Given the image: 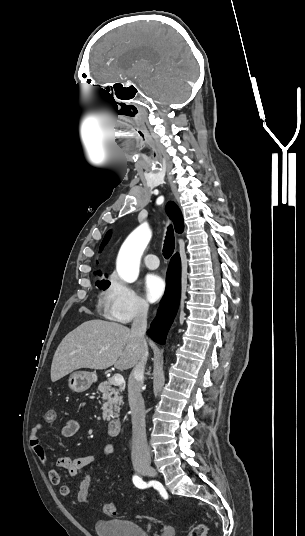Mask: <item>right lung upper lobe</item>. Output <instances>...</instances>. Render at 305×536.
Wrapping results in <instances>:
<instances>
[{
	"label": "right lung upper lobe",
	"instance_id": "1",
	"mask_svg": "<svg viewBox=\"0 0 305 536\" xmlns=\"http://www.w3.org/2000/svg\"><path fill=\"white\" fill-rule=\"evenodd\" d=\"M166 211H167L169 217L173 220L176 232L182 233L183 228H184V223H183V217H182L181 211L178 208V206L174 202H169L167 204V206H166ZM109 236H110V232H107V234H106V236H105V238H104V240H103V242H102V244L100 246V251L103 249V247L108 242ZM96 273L98 275H101V273L99 271L96 272ZM105 276L107 277V275H105Z\"/></svg>",
	"mask_w": 305,
	"mask_h": 536
}]
</instances>
